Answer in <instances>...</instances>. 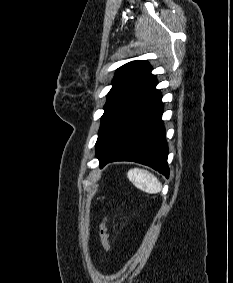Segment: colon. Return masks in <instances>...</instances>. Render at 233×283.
Here are the masks:
<instances>
[{
    "mask_svg": "<svg viewBox=\"0 0 233 283\" xmlns=\"http://www.w3.org/2000/svg\"><path fill=\"white\" fill-rule=\"evenodd\" d=\"M99 236L102 243L103 248L107 251H111V243L109 239V234L107 230V218H104L99 226Z\"/></svg>",
    "mask_w": 233,
    "mask_h": 283,
    "instance_id": "1",
    "label": "colon"
}]
</instances>
